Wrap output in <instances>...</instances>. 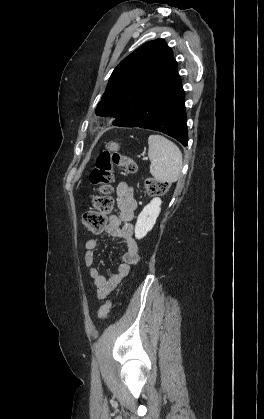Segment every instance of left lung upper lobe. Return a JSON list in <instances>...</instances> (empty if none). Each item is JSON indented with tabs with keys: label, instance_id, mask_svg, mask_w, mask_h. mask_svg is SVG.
Wrapping results in <instances>:
<instances>
[{
	"label": "left lung upper lobe",
	"instance_id": "1",
	"mask_svg": "<svg viewBox=\"0 0 264 419\" xmlns=\"http://www.w3.org/2000/svg\"><path fill=\"white\" fill-rule=\"evenodd\" d=\"M177 62L163 39L147 42L121 61L96 108L100 116L117 117L131 109L145 91L176 76Z\"/></svg>",
	"mask_w": 264,
	"mask_h": 419
}]
</instances>
